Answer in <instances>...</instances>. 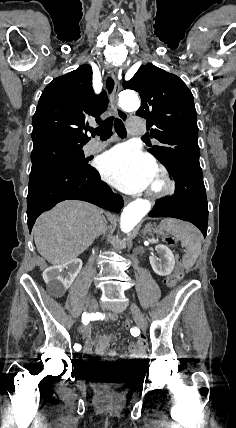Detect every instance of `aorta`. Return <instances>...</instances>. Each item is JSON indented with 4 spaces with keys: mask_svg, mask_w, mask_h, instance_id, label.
I'll return each mask as SVG.
<instances>
[{
    "mask_svg": "<svg viewBox=\"0 0 236 428\" xmlns=\"http://www.w3.org/2000/svg\"><path fill=\"white\" fill-rule=\"evenodd\" d=\"M119 105L127 112L136 111L140 107L137 94L132 90L122 91L119 95ZM151 203L148 200L137 199L126 206L121 214L120 228L129 233L141 219L150 211Z\"/></svg>",
    "mask_w": 236,
    "mask_h": 428,
    "instance_id": "obj_1",
    "label": "aorta"
}]
</instances>
